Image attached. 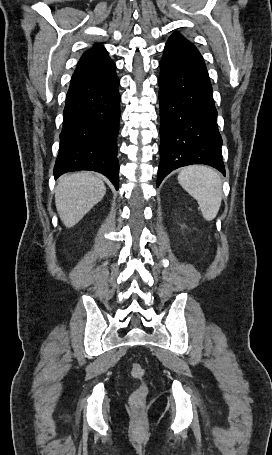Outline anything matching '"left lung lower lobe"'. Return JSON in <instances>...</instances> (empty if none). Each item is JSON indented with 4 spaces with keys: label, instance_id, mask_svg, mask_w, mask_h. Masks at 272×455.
<instances>
[{
    "label": "left lung lower lobe",
    "instance_id": "0a47b994",
    "mask_svg": "<svg viewBox=\"0 0 272 455\" xmlns=\"http://www.w3.org/2000/svg\"><path fill=\"white\" fill-rule=\"evenodd\" d=\"M160 164L157 186L171 171L206 164L225 175L212 86L201 59L160 61Z\"/></svg>",
    "mask_w": 272,
    "mask_h": 455
}]
</instances>
